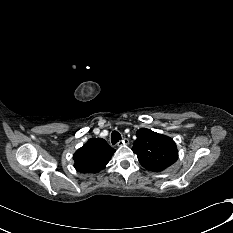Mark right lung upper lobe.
I'll return each instance as SVG.
<instances>
[{"instance_id": "1", "label": "right lung upper lobe", "mask_w": 233, "mask_h": 233, "mask_svg": "<svg viewBox=\"0 0 233 233\" xmlns=\"http://www.w3.org/2000/svg\"><path fill=\"white\" fill-rule=\"evenodd\" d=\"M114 152L104 139H89L74 153V167L81 173H97L105 168Z\"/></svg>"}]
</instances>
